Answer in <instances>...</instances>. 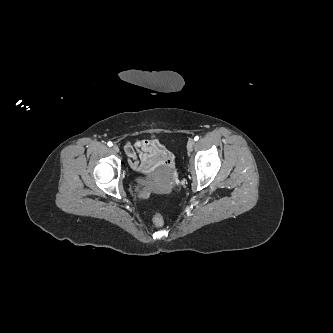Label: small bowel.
<instances>
[{
	"instance_id": "small-bowel-1",
	"label": "small bowel",
	"mask_w": 333,
	"mask_h": 333,
	"mask_svg": "<svg viewBox=\"0 0 333 333\" xmlns=\"http://www.w3.org/2000/svg\"><path fill=\"white\" fill-rule=\"evenodd\" d=\"M125 154L130 167L138 172H149L159 166H171L172 153L157 139H141L125 145ZM148 195V189L142 191Z\"/></svg>"
}]
</instances>
